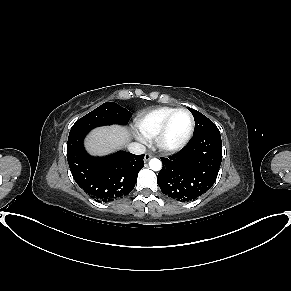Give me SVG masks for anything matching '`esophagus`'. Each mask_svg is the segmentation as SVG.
<instances>
[{
    "instance_id": "obj_1",
    "label": "esophagus",
    "mask_w": 291,
    "mask_h": 291,
    "mask_svg": "<svg viewBox=\"0 0 291 291\" xmlns=\"http://www.w3.org/2000/svg\"><path fill=\"white\" fill-rule=\"evenodd\" d=\"M153 157V155L151 153H146L144 156V161L147 162L149 161L151 158Z\"/></svg>"
}]
</instances>
